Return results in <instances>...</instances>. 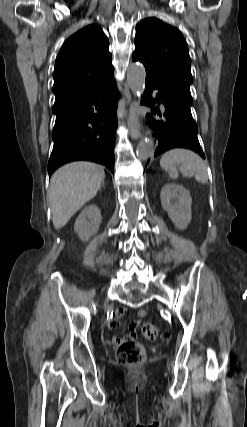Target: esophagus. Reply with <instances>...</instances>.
<instances>
[{"label":"esophagus","instance_id":"1","mask_svg":"<svg viewBox=\"0 0 247 427\" xmlns=\"http://www.w3.org/2000/svg\"><path fill=\"white\" fill-rule=\"evenodd\" d=\"M138 107H139V103L137 101H133L129 109L128 127L130 131V136L134 140H137L142 137V132L139 128V124L137 123V119H136V111Z\"/></svg>","mask_w":247,"mask_h":427}]
</instances>
